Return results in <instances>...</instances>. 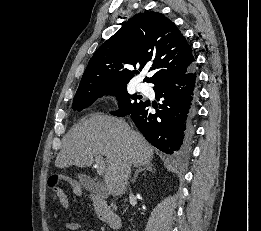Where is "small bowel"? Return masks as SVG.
I'll return each instance as SVG.
<instances>
[{"label": "small bowel", "mask_w": 261, "mask_h": 231, "mask_svg": "<svg viewBox=\"0 0 261 231\" xmlns=\"http://www.w3.org/2000/svg\"><path fill=\"white\" fill-rule=\"evenodd\" d=\"M59 202L63 208H65V209L71 208L69 200L66 197H64L63 195H60ZM65 229H66V231H78L79 224L76 222L66 223ZM85 231H94V230H85Z\"/></svg>", "instance_id": "c3829d8e"}]
</instances>
